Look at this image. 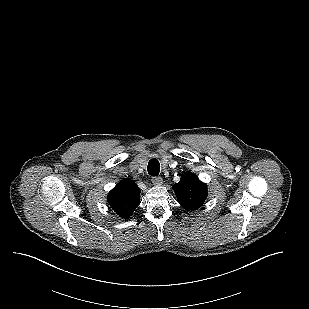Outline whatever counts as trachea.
Here are the masks:
<instances>
[{"instance_id":"3493384b","label":"trachea","mask_w":309,"mask_h":309,"mask_svg":"<svg viewBox=\"0 0 309 309\" xmlns=\"http://www.w3.org/2000/svg\"><path fill=\"white\" fill-rule=\"evenodd\" d=\"M147 171L151 176H157L160 172V163L157 159H151L148 162Z\"/></svg>"}]
</instances>
